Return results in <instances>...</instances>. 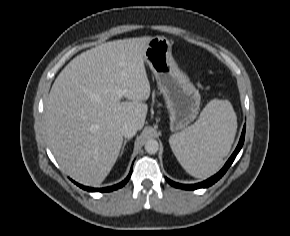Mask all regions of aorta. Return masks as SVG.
<instances>
[{
    "label": "aorta",
    "mask_w": 290,
    "mask_h": 236,
    "mask_svg": "<svg viewBox=\"0 0 290 236\" xmlns=\"http://www.w3.org/2000/svg\"><path fill=\"white\" fill-rule=\"evenodd\" d=\"M159 149V144L155 139H149L145 143V150L148 154H155Z\"/></svg>",
    "instance_id": "1"
}]
</instances>
